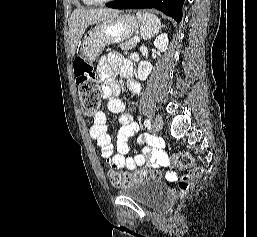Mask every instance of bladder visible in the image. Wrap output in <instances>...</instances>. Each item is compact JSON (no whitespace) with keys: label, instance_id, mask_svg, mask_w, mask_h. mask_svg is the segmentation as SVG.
I'll return each mask as SVG.
<instances>
[{"label":"bladder","instance_id":"1","mask_svg":"<svg viewBox=\"0 0 257 237\" xmlns=\"http://www.w3.org/2000/svg\"><path fill=\"white\" fill-rule=\"evenodd\" d=\"M118 193L132 198L136 202L147 206L157 207L167 199V190L163 184L155 180L137 182L119 188Z\"/></svg>","mask_w":257,"mask_h":237}]
</instances>
